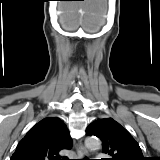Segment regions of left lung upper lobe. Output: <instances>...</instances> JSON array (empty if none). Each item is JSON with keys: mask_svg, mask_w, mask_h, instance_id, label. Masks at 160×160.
Masks as SVG:
<instances>
[{"mask_svg": "<svg viewBox=\"0 0 160 160\" xmlns=\"http://www.w3.org/2000/svg\"><path fill=\"white\" fill-rule=\"evenodd\" d=\"M86 134L100 138L103 153L112 156L108 160H146L131 134L112 118L92 122Z\"/></svg>", "mask_w": 160, "mask_h": 160, "instance_id": "left-lung-upper-lobe-1", "label": "left lung upper lobe"}]
</instances>
